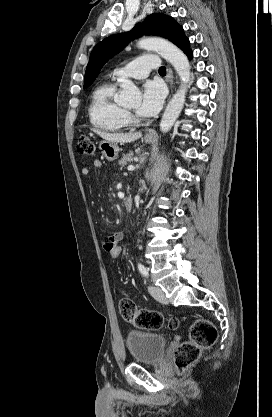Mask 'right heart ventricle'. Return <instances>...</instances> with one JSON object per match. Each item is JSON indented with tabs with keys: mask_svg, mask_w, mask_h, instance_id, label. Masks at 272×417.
<instances>
[{
	"mask_svg": "<svg viewBox=\"0 0 272 417\" xmlns=\"http://www.w3.org/2000/svg\"><path fill=\"white\" fill-rule=\"evenodd\" d=\"M117 88L115 80L99 85L92 94L89 107V117L96 128L115 132L128 125L125 109L116 99Z\"/></svg>",
	"mask_w": 272,
	"mask_h": 417,
	"instance_id": "e07e8e85",
	"label": "right heart ventricle"
}]
</instances>
